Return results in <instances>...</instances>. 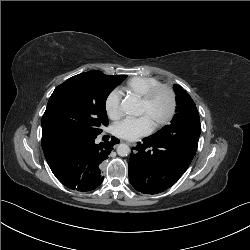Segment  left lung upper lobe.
<instances>
[{
    "mask_svg": "<svg viewBox=\"0 0 250 250\" xmlns=\"http://www.w3.org/2000/svg\"><path fill=\"white\" fill-rule=\"evenodd\" d=\"M174 91L176 92V114L170 125L165 126L154 135H168L174 133L176 127H186L190 123L200 122L196 105L190 95L177 84L174 85Z\"/></svg>",
    "mask_w": 250,
    "mask_h": 250,
    "instance_id": "left-lung-upper-lobe-1",
    "label": "left lung upper lobe"
}]
</instances>
